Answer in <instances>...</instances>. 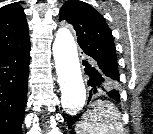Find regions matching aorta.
Returning <instances> with one entry per match:
<instances>
[{
  "label": "aorta",
  "instance_id": "1",
  "mask_svg": "<svg viewBox=\"0 0 153 134\" xmlns=\"http://www.w3.org/2000/svg\"><path fill=\"white\" fill-rule=\"evenodd\" d=\"M53 56L66 113L75 115L86 102V88L74 38L69 29L60 28L53 43Z\"/></svg>",
  "mask_w": 153,
  "mask_h": 134
}]
</instances>
